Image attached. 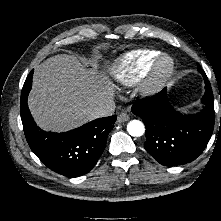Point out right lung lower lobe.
Returning <instances> with one entry per match:
<instances>
[{
    "instance_id": "obj_1",
    "label": "right lung lower lobe",
    "mask_w": 221,
    "mask_h": 221,
    "mask_svg": "<svg viewBox=\"0 0 221 221\" xmlns=\"http://www.w3.org/2000/svg\"><path fill=\"white\" fill-rule=\"evenodd\" d=\"M32 77L33 70L26 78L20 101L23 129L31 150L48 168L61 175L77 177L88 173L105 148L116 116L99 118L65 133L42 131L27 106Z\"/></svg>"
}]
</instances>
